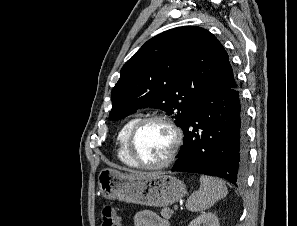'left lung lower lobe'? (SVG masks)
<instances>
[{"label":"left lung lower lobe","instance_id":"obj_1","mask_svg":"<svg viewBox=\"0 0 297 226\" xmlns=\"http://www.w3.org/2000/svg\"><path fill=\"white\" fill-rule=\"evenodd\" d=\"M246 113L237 86L206 92L182 127L184 143L171 171L245 181Z\"/></svg>","mask_w":297,"mask_h":226}]
</instances>
